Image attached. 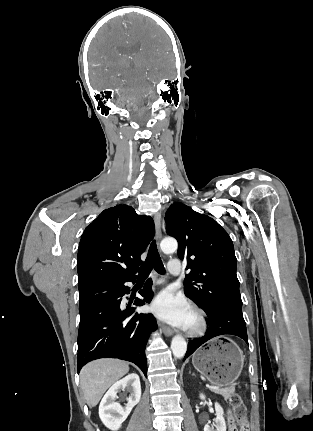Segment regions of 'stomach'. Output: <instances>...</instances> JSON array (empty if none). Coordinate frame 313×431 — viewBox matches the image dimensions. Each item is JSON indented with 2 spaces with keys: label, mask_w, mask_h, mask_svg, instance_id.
Listing matches in <instances>:
<instances>
[{
  "label": "stomach",
  "mask_w": 313,
  "mask_h": 431,
  "mask_svg": "<svg viewBox=\"0 0 313 431\" xmlns=\"http://www.w3.org/2000/svg\"><path fill=\"white\" fill-rule=\"evenodd\" d=\"M192 364L214 386L226 387L240 376L244 356L230 338L217 337L193 355Z\"/></svg>",
  "instance_id": "0dacf381"
}]
</instances>
